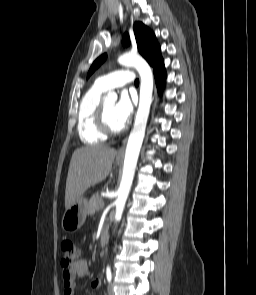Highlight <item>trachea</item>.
<instances>
[{
	"instance_id": "trachea-1",
	"label": "trachea",
	"mask_w": 256,
	"mask_h": 295,
	"mask_svg": "<svg viewBox=\"0 0 256 295\" xmlns=\"http://www.w3.org/2000/svg\"><path fill=\"white\" fill-rule=\"evenodd\" d=\"M135 85H137V86L139 85V80L138 79L135 80Z\"/></svg>"
}]
</instances>
